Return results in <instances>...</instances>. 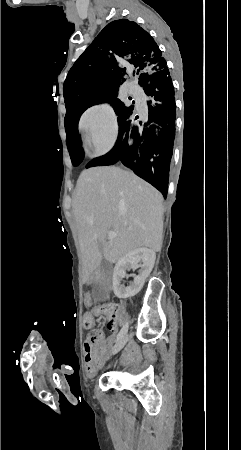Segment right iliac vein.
Instances as JSON below:
<instances>
[{
	"mask_svg": "<svg viewBox=\"0 0 241 450\" xmlns=\"http://www.w3.org/2000/svg\"><path fill=\"white\" fill-rule=\"evenodd\" d=\"M128 341V334H125L117 343L116 345L112 348L111 350V354H116L117 352H119L124 345L126 344V342Z\"/></svg>",
	"mask_w": 241,
	"mask_h": 450,
	"instance_id": "1",
	"label": "right iliac vein"
}]
</instances>
